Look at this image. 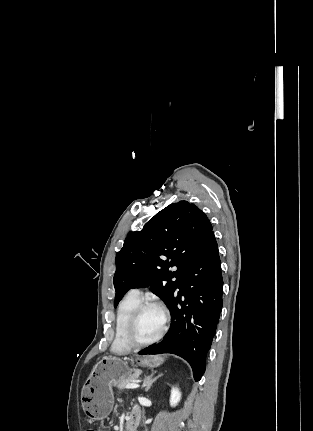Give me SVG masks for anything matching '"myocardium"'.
I'll return each mask as SVG.
<instances>
[{"instance_id": "1", "label": "myocardium", "mask_w": 313, "mask_h": 431, "mask_svg": "<svg viewBox=\"0 0 313 431\" xmlns=\"http://www.w3.org/2000/svg\"><path fill=\"white\" fill-rule=\"evenodd\" d=\"M150 307L157 308L161 311L162 316H163L162 327H161L160 331L157 333V335L154 336L152 339L147 340V341H139L135 336V331L137 328L138 320H139L141 313L145 309L150 308ZM167 321H168V314L162 306H160L157 303L151 302V301L140 302L134 308V310L131 313V316L128 320L126 331H125V340L132 348H143V347L150 346L162 338V336L164 335V333L166 331Z\"/></svg>"}]
</instances>
